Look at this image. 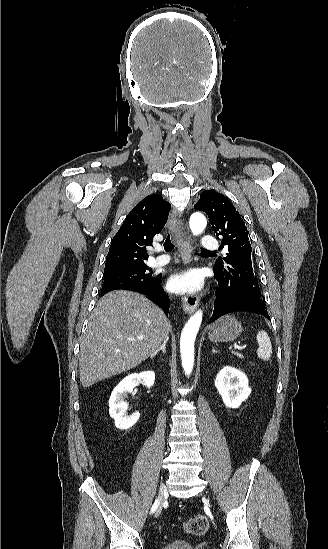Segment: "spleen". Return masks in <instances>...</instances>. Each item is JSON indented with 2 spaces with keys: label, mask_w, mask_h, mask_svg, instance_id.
<instances>
[{
  "label": "spleen",
  "mask_w": 328,
  "mask_h": 549,
  "mask_svg": "<svg viewBox=\"0 0 328 549\" xmlns=\"http://www.w3.org/2000/svg\"><path fill=\"white\" fill-rule=\"evenodd\" d=\"M256 341L259 345V349H257L259 359L269 361L272 355V345L267 333L265 331H258Z\"/></svg>",
  "instance_id": "spleen-1"
}]
</instances>
